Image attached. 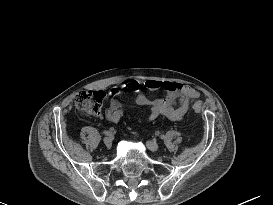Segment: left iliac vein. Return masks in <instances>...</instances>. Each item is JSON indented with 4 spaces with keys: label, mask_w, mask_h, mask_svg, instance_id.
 <instances>
[{
    "label": "left iliac vein",
    "mask_w": 273,
    "mask_h": 205,
    "mask_svg": "<svg viewBox=\"0 0 273 205\" xmlns=\"http://www.w3.org/2000/svg\"><path fill=\"white\" fill-rule=\"evenodd\" d=\"M146 145L148 147V149H150L151 151H157L159 150V145L155 142V141H147Z\"/></svg>",
    "instance_id": "4c4485c4"
}]
</instances>
